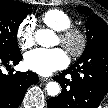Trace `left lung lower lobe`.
<instances>
[{
	"instance_id": "left-lung-lower-lobe-1",
	"label": "left lung lower lobe",
	"mask_w": 108,
	"mask_h": 108,
	"mask_svg": "<svg viewBox=\"0 0 108 108\" xmlns=\"http://www.w3.org/2000/svg\"><path fill=\"white\" fill-rule=\"evenodd\" d=\"M67 74L71 79L66 78ZM53 79L62 92L47 101L48 108H97L108 91V64L72 65ZM69 90H76L74 101L66 100Z\"/></svg>"
}]
</instances>
